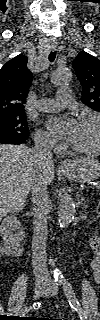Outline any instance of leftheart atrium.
Masks as SVG:
<instances>
[{"label": "left heart atrium", "instance_id": "obj_1", "mask_svg": "<svg viewBox=\"0 0 100 320\" xmlns=\"http://www.w3.org/2000/svg\"><path fill=\"white\" fill-rule=\"evenodd\" d=\"M77 122L64 117H51L47 121V127L57 137L72 141L76 132Z\"/></svg>", "mask_w": 100, "mask_h": 320}]
</instances>
